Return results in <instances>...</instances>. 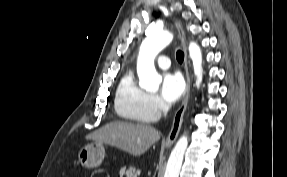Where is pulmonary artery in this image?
<instances>
[{
  "label": "pulmonary artery",
  "instance_id": "e3ab8cb5",
  "mask_svg": "<svg viewBox=\"0 0 287 177\" xmlns=\"http://www.w3.org/2000/svg\"><path fill=\"white\" fill-rule=\"evenodd\" d=\"M157 65L163 69L170 67V61H169L168 56L160 55L157 59Z\"/></svg>",
  "mask_w": 287,
  "mask_h": 177
}]
</instances>
